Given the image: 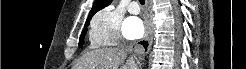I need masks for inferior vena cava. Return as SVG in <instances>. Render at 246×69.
Instances as JSON below:
<instances>
[{
	"label": "inferior vena cava",
	"mask_w": 246,
	"mask_h": 69,
	"mask_svg": "<svg viewBox=\"0 0 246 69\" xmlns=\"http://www.w3.org/2000/svg\"><path fill=\"white\" fill-rule=\"evenodd\" d=\"M122 49H125L127 52H131L132 51V45H124V46H121ZM131 60L133 61L134 58L131 57Z\"/></svg>",
	"instance_id": "inferior-vena-cava-1"
}]
</instances>
